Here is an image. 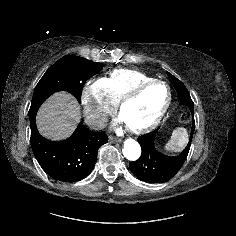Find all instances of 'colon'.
Instances as JSON below:
<instances>
[{"mask_svg": "<svg viewBox=\"0 0 236 236\" xmlns=\"http://www.w3.org/2000/svg\"><path fill=\"white\" fill-rule=\"evenodd\" d=\"M181 120L185 123L189 122L190 116L187 112L183 111L180 116Z\"/></svg>", "mask_w": 236, "mask_h": 236, "instance_id": "5ec220e1", "label": "colon"}]
</instances>
